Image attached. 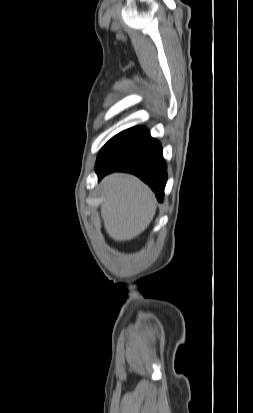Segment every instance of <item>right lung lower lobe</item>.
Here are the masks:
<instances>
[{
	"label": "right lung lower lobe",
	"instance_id": "right-lung-lower-lobe-1",
	"mask_svg": "<svg viewBox=\"0 0 253 413\" xmlns=\"http://www.w3.org/2000/svg\"><path fill=\"white\" fill-rule=\"evenodd\" d=\"M166 163L161 144L150 135L113 154L96 166L99 180L113 171L137 175L155 192L162 202L167 180Z\"/></svg>",
	"mask_w": 253,
	"mask_h": 413
}]
</instances>
